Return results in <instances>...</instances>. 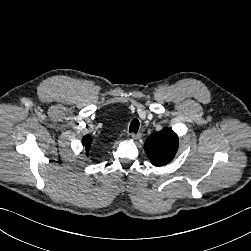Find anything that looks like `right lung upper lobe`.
<instances>
[{
    "label": "right lung upper lobe",
    "instance_id": "right-lung-upper-lobe-1",
    "mask_svg": "<svg viewBox=\"0 0 251 251\" xmlns=\"http://www.w3.org/2000/svg\"><path fill=\"white\" fill-rule=\"evenodd\" d=\"M91 142H92V138H91L90 135H86V136H84L83 139H82V144H83V146L86 147V151H87V152L89 151Z\"/></svg>",
    "mask_w": 251,
    "mask_h": 251
}]
</instances>
